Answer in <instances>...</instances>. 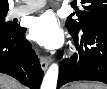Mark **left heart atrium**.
Masks as SVG:
<instances>
[{
	"instance_id": "1",
	"label": "left heart atrium",
	"mask_w": 107,
	"mask_h": 89,
	"mask_svg": "<svg viewBox=\"0 0 107 89\" xmlns=\"http://www.w3.org/2000/svg\"><path fill=\"white\" fill-rule=\"evenodd\" d=\"M30 37L40 45L54 49L62 46L64 35L56 15L45 12L31 21Z\"/></svg>"
}]
</instances>
